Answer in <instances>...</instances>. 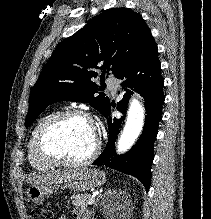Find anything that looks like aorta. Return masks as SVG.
Segmentation results:
<instances>
[{
    "label": "aorta",
    "instance_id": "762f6f07",
    "mask_svg": "<svg viewBox=\"0 0 211 219\" xmlns=\"http://www.w3.org/2000/svg\"><path fill=\"white\" fill-rule=\"evenodd\" d=\"M143 125L144 108L137 100H133L128 110L125 127L118 140L117 151L119 153H124L133 146L142 132Z\"/></svg>",
    "mask_w": 211,
    "mask_h": 219
}]
</instances>
